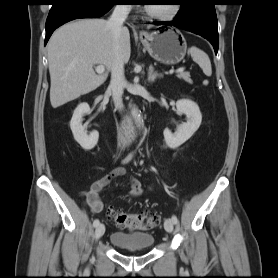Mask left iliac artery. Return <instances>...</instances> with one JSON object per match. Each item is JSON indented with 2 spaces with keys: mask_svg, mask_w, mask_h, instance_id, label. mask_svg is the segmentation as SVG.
<instances>
[{
  "mask_svg": "<svg viewBox=\"0 0 278 278\" xmlns=\"http://www.w3.org/2000/svg\"><path fill=\"white\" fill-rule=\"evenodd\" d=\"M171 220H172V222H173L174 224H177V223H178V219H177V217H176L175 215L172 216Z\"/></svg>",
  "mask_w": 278,
  "mask_h": 278,
  "instance_id": "obj_1",
  "label": "left iliac artery"
}]
</instances>
